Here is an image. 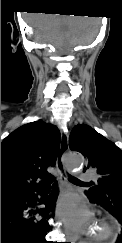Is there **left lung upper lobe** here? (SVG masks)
<instances>
[{
	"label": "left lung upper lobe",
	"instance_id": "obj_1",
	"mask_svg": "<svg viewBox=\"0 0 122 243\" xmlns=\"http://www.w3.org/2000/svg\"><path fill=\"white\" fill-rule=\"evenodd\" d=\"M69 147L86 157L88 168L91 165L101 175L98 185L86 191L88 198L101 203L122 224V200H114L111 191L113 186L122 184V151L85 124L73 128Z\"/></svg>",
	"mask_w": 122,
	"mask_h": 243
}]
</instances>
